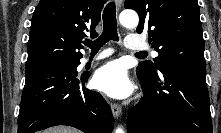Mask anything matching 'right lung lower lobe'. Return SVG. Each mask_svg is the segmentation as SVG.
<instances>
[{
  "instance_id": "98d812e1",
  "label": "right lung lower lobe",
  "mask_w": 221,
  "mask_h": 133,
  "mask_svg": "<svg viewBox=\"0 0 221 133\" xmlns=\"http://www.w3.org/2000/svg\"><path fill=\"white\" fill-rule=\"evenodd\" d=\"M67 62L26 69L18 133L68 125L85 133H111V109L98 93L84 88L89 76L76 78Z\"/></svg>"
}]
</instances>
